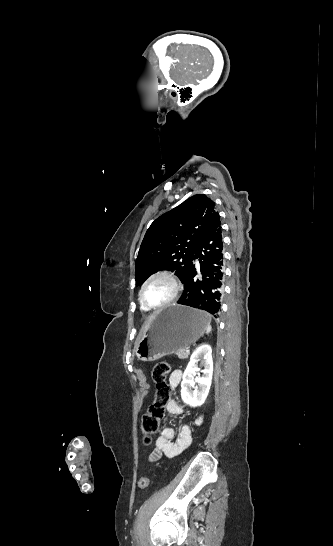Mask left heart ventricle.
<instances>
[{"label": "left heart ventricle", "mask_w": 333, "mask_h": 546, "mask_svg": "<svg viewBox=\"0 0 333 546\" xmlns=\"http://www.w3.org/2000/svg\"><path fill=\"white\" fill-rule=\"evenodd\" d=\"M173 294V286L165 278L152 280L144 290V298L149 305L156 306L167 301Z\"/></svg>", "instance_id": "left-heart-ventricle-1"}]
</instances>
